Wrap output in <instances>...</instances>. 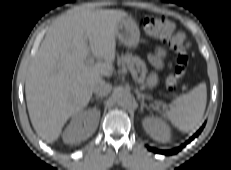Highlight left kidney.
Returning a JSON list of instances; mask_svg holds the SVG:
<instances>
[{
  "label": "left kidney",
  "instance_id": "1",
  "mask_svg": "<svg viewBox=\"0 0 231 170\" xmlns=\"http://www.w3.org/2000/svg\"><path fill=\"white\" fill-rule=\"evenodd\" d=\"M143 127L154 140L168 142L171 138L170 127L160 119L145 117L143 120Z\"/></svg>",
  "mask_w": 231,
  "mask_h": 170
}]
</instances>
